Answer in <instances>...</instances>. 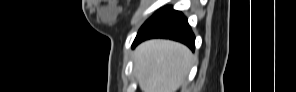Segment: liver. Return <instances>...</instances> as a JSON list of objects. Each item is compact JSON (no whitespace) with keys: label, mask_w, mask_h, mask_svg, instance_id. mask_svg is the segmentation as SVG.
I'll use <instances>...</instances> for the list:
<instances>
[{"label":"liver","mask_w":296,"mask_h":92,"mask_svg":"<svg viewBox=\"0 0 296 92\" xmlns=\"http://www.w3.org/2000/svg\"><path fill=\"white\" fill-rule=\"evenodd\" d=\"M133 58L142 92H176L194 63V56L185 45L163 39L141 43Z\"/></svg>","instance_id":"liver-1"}]
</instances>
